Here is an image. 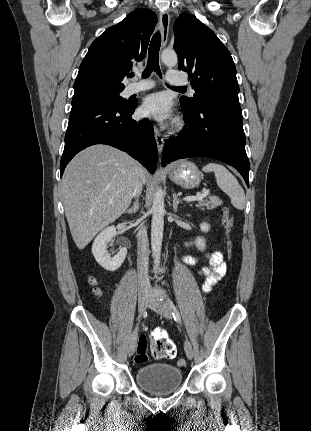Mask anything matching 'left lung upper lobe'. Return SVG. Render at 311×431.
<instances>
[{"mask_svg":"<svg viewBox=\"0 0 311 431\" xmlns=\"http://www.w3.org/2000/svg\"><path fill=\"white\" fill-rule=\"evenodd\" d=\"M178 68L187 71L195 94L182 97L181 107L195 111L219 99L238 100L236 67L228 49L195 16L182 13L174 26Z\"/></svg>","mask_w":311,"mask_h":431,"instance_id":"obj_1","label":"left lung upper lobe"}]
</instances>
